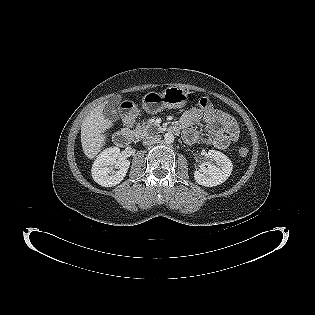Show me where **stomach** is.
Segmentation results:
<instances>
[{
  "label": "stomach",
  "mask_w": 315,
  "mask_h": 315,
  "mask_svg": "<svg viewBox=\"0 0 315 315\" xmlns=\"http://www.w3.org/2000/svg\"><path fill=\"white\" fill-rule=\"evenodd\" d=\"M188 100L187 92L179 87L171 86L161 93H150L144 104L140 101H126L119 105L117 113L121 120L137 121L144 117L145 112L157 113L163 108H181Z\"/></svg>",
  "instance_id": "stomach-1"
}]
</instances>
